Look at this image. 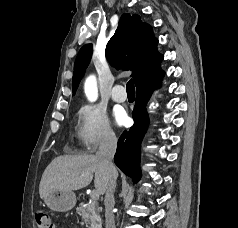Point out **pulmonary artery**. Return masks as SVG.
Instances as JSON below:
<instances>
[{
  "instance_id": "1",
  "label": "pulmonary artery",
  "mask_w": 238,
  "mask_h": 228,
  "mask_svg": "<svg viewBox=\"0 0 238 228\" xmlns=\"http://www.w3.org/2000/svg\"><path fill=\"white\" fill-rule=\"evenodd\" d=\"M111 97L116 102H124L127 99V94L122 85H116L111 91Z\"/></svg>"
}]
</instances>
